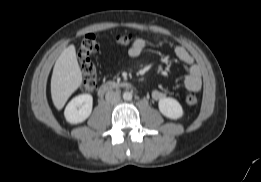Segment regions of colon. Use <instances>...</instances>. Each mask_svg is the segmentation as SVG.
Segmentation results:
<instances>
[{
  "label": "colon",
  "mask_w": 261,
  "mask_h": 182,
  "mask_svg": "<svg viewBox=\"0 0 261 182\" xmlns=\"http://www.w3.org/2000/svg\"><path fill=\"white\" fill-rule=\"evenodd\" d=\"M132 40L131 35H120L116 37V41L121 45H128ZM98 50V42L96 35L93 33L86 34L81 40L78 51L77 60L79 67L83 73V89L85 91H93L98 84L97 68L93 61V55ZM198 98L194 92H189L186 96V103L190 106L196 105Z\"/></svg>",
  "instance_id": "colon-1"
}]
</instances>
